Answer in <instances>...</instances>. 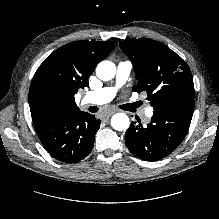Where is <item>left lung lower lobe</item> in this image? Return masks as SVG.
<instances>
[{"label":"left lung lower lobe","instance_id":"1","mask_svg":"<svg viewBox=\"0 0 219 219\" xmlns=\"http://www.w3.org/2000/svg\"><path fill=\"white\" fill-rule=\"evenodd\" d=\"M193 107L174 112L154 111L151 122L143 127L131 123L126 131L125 144L143 160H159L172 153L182 142L189 129Z\"/></svg>","mask_w":219,"mask_h":219}]
</instances>
